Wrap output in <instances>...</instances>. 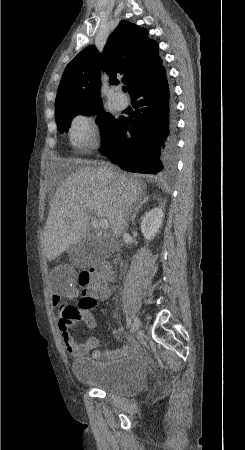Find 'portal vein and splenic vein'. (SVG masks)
<instances>
[{
    "instance_id": "obj_1",
    "label": "portal vein and splenic vein",
    "mask_w": 245,
    "mask_h": 450,
    "mask_svg": "<svg viewBox=\"0 0 245 450\" xmlns=\"http://www.w3.org/2000/svg\"><path fill=\"white\" fill-rule=\"evenodd\" d=\"M92 224H93L94 228L101 229V230H105L109 227V222L105 218L100 219V220H97L96 218H94L92 220Z\"/></svg>"
}]
</instances>
